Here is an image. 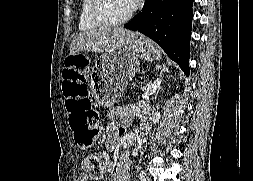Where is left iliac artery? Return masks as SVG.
I'll list each match as a JSON object with an SVG mask.
<instances>
[{"label":"left iliac artery","instance_id":"obj_1","mask_svg":"<svg viewBox=\"0 0 253 181\" xmlns=\"http://www.w3.org/2000/svg\"><path fill=\"white\" fill-rule=\"evenodd\" d=\"M140 179H141V181H146L145 172L144 171L141 172Z\"/></svg>","mask_w":253,"mask_h":181}]
</instances>
